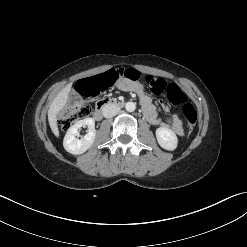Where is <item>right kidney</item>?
I'll list each match as a JSON object with an SVG mask.
<instances>
[{"mask_svg": "<svg viewBox=\"0 0 247 247\" xmlns=\"http://www.w3.org/2000/svg\"><path fill=\"white\" fill-rule=\"evenodd\" d=\"M88 127V133L78 139L79 128ZM96 136L95 121L93 118H85L72 125L63 140L64 149L74 155H79L87 151L93 144Z\"/></svg>", "mask_w": 247, "mask_h": 247, "instance_id": "1", "label": "right kidney"}]
</instances>
